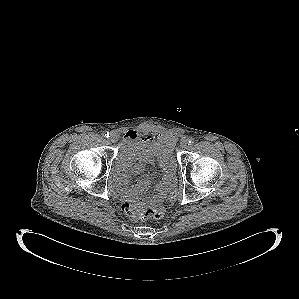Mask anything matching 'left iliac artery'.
<instances>
[{
    "label": "left iliac artery",
    "instance_id": "left-iliac-artery-1",
    "mask_svg": "<svg viewBox=\"0 0 299 299\" xmlns=\"http://www.w3.org/2000/svg\"><path fill=\"white\" fill-rule=\"evenodd\" d=\"M193 143H194V139L191 138L188 140V145H192Z\"/></svg>",
    "mask_w": 299,
    "mask_h": 299
}]
</instances>
